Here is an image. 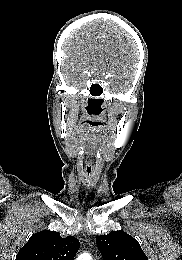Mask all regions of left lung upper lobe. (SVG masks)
Instances as JSON below:
<instances>
[{
    "mask_svg": "<svg viewBox=\"0 0 182 260\" xmlns=\"http://www.w3.org/2000/svg\"><path fill=\"white\" fill-rule=\"evenodd\" d=\"M103 260H148L140 244L124 231H112L96 238Z\"/></svg>",
    "mask_w": 182,
    "mask_h": 260,
    "instance_id": "1",
    "label": "left lung upper lobe"
}]
</instances>
